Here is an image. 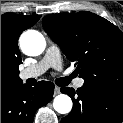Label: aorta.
Listing matches in <instances>:
<instances>
[{
  "label": "aorta",
  "mask_w": 123,
  "mask_h": 123,
  "mask_svg": "<svg viewBox=\"0 0 123 123\" xmlns=\"http://www.w3.org/2000/svg\"><path fill=\"white\" fill-rule=\"evenodd\" d=\"M20 46L26 55L38 56L45 50L46 41L40 32L28 30L21 35ZM72 106L73 103L71 98L65 94L56 96L53 102L54 109L60 114H68Z\"/></svg>",
  "instance_id": "aorta-1"
}]
</instances>
